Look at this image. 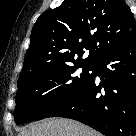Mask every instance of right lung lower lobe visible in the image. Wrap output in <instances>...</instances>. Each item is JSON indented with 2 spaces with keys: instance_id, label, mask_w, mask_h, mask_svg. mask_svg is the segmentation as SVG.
Segmentation results:
<instances>
[{
  "instance_id": "1",
  "label": "right lung lower lobe",
  "mask_w": 136,
  "mask_h": 136,
  "mask_svg": "<svg viewBox=\"0 0 136 136\" xmlns=\"http://www.w3.org/2000/svg\"><path fill=\"white\" fill-rule=\"evenodd\" d=\"M96 76H100L99 84ZM48 117L74 119L105 136H134L136 37L99 57L89 83Z\"/></svg>"
}]
</instances>
